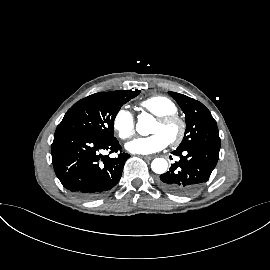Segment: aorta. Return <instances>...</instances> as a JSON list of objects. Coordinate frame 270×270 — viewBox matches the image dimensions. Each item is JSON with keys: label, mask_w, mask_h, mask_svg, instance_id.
Segmentation results:
<instances>
[{"label": "aorta", "mask_w": 270, "mask_h": 270, "mask_svg": "<svg viewBox=\"0 0 270 270\" xmlns=\"http://www.w3.org/2000/svg\"><path fill=\"white\" fill-rule=\"evenodd\" d=\"M153 120L154 119L150 114L142 113L141 115L138 116L136 131L142 136L149 135ZM151 168L153 172L157 174H163L167 171L168 163L164 158H156L152 161Z\"/></svg>", "instance_id": "762f6f07"}]
</instances>
